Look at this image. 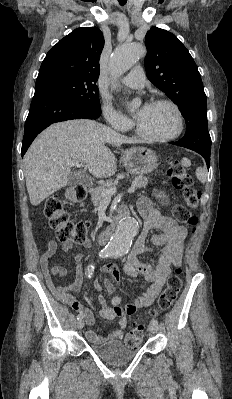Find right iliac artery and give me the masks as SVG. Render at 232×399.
<instances>
[{"mask_svg": "<svg viewBox=\"0 0 232 399\" xmlns=\"http://www.w3.org/2000/svg\"><path fill=\"white\" fill-rule=\"evenodd\" d=\"M94 268H95L94 264H90L87 266L86 275L88 276V278H91L93 276ZM82 318H83V315H81V314L77 315V320H82Z\"/></svg>", "mask_w": 232, "mask_h": 399, "instance_id": "obj_1", "label": "right iliac artery"}]
</instances>
